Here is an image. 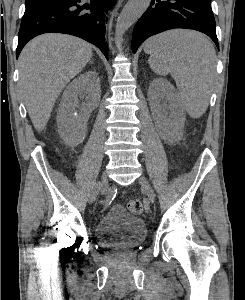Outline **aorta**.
Segmentation results:
<instances>
[{
    "mask_svg": "<svg viewBox=\"0 0 245 300\" xmlns=\"http://www.w3.org/2000/svg\"><path fill=\"white\" fill-rule=\"evenodd\" d=\"M151 0H129L120 13L116 24V38L121 39L123 34L148 9Z\"/></svg>",
    "mask_w": 245,
    "mask_h": 300,
    "instance_id": "762f6f07",
    "label": "aorta"
}]
</instances>
